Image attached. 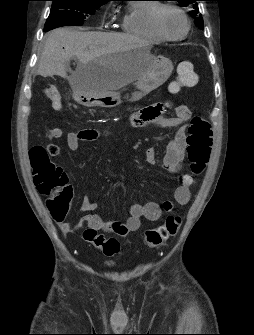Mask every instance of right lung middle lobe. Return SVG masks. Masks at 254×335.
<instances>
[{
	"label": "right lung middle lobe",
	"instance_id": "right-lung-middle-lobe-1",
	"mask_svg": "<svg viewBox=\"0 0 254 335\" xmlns=\"http://www.w3.org/2000/svg\"><path fill=\"white\" fill-rule=\"evenodd\" d=\"M52 8L45 23L44 31L47 32L56 27L72 25L81 26L88 15L106 1L101 0H51Z\"/></svg>",
	"mask_w": 254,
	"mask_h": 335
}]
</instances>
